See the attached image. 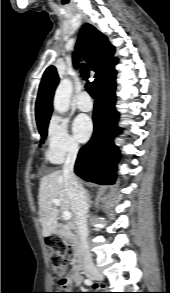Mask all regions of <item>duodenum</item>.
<instances>
[{"mask_svg": "<svg viewBox=\"0 0 170 293\" xmlns=\"http://www.w3.org/2000/svg\"><path fill=\"white\" fill-rule=\"evenodd\" d=\"M78 228L77 222L74 218L71 219L69 224L66 225H54L52 228L53 235H69L72 232L76 231ZM72 265L74 270L81 271L83 267L82 256L80 253H77L72 260Z\"/></svg>", "mask_w": 170, "mask_h": 293, "instance_id": "410a0bca", "label": "duodenum"}]
</instances>
